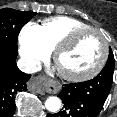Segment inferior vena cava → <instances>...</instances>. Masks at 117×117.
Returning a JSON list of instances; mask_svg holds the SVG:
<instances>
[{"mask_svg": "<svg viewBox=\"0 0 117 117\" xmlns=\"http://www.w3.org/2000/svg\"><path fill=\"white\" fill-rule=\"evenodd\" d=\"M18 68L25 73H35L41 70V63L39 61L22 58L17 62Z\"/></svg>", "mask_w": 117, "mask_h": 117, "instance_id": "1", "label": "inferior vena cava"}]
</instances>
